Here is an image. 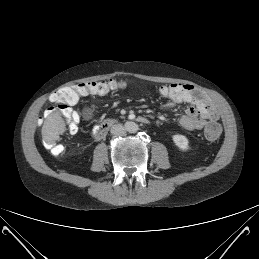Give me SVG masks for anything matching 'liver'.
Returning a JSON list of instances; mask_svg holds the SVG:
<instances>
[{
	"mask_svg": "<svg viewBox=\"0 0 259 259\" xmlns=\"http://www.w3.org/2000/svg\"><path fill=\"white\" fill-rule=\"evenodd\" d=\"M66 131V123L59 111L52 112L44 121L41 133L42 138L48 144H53L60 139Z\"/></svg>",
	"mask_w": 259,
	"mask_h": 259,
	"instance_id": "6515ba94",
	"label": "liver"
}]
</instances>
